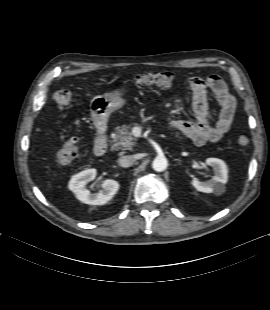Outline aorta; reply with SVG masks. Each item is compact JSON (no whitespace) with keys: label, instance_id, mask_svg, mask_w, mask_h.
Segmentation results:
<instances>
[{"label":"aorta","instance_id":"762f6f07","mask_svg":"<svg viewBox=\"0 0 270 310\" xmlns=\"http://www.w3.org/2000/svg\"><path fill=\"white\" fill-rule=\"evenodd\" d=\"M168 162L164 156L156 157L152 162V168L157 172H162L167 168Z\"/></svg>","mask_w":270,"mask_h":310}]
</instances>
